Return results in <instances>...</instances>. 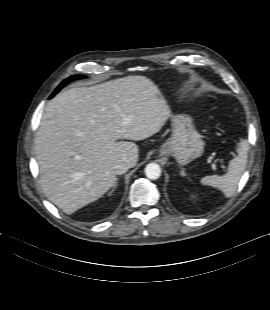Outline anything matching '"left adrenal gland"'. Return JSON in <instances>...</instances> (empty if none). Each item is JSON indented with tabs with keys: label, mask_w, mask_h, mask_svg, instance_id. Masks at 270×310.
<instances>
[{
	"label": "left adrenal gland",
	"mask_w": 270,
	"mask_h": 310,
	"mask_svg": "<svg viewBox=\"0 0 270 310\" xmlns=\"http://www.w3.org/2000/svg\"><path fill=\"white\" fill-rule=\"evenodd\" d=\"M180 174H181L182 176H186V173H185V169H184V168H181Z\"/></svg>",
	"instance_id": "a2214340"
}]
</instances>
